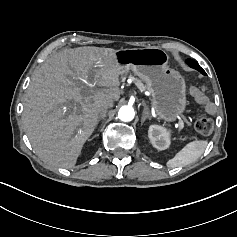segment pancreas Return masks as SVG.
<instances>
[{"label":"pancreas","instance_id":"obj_1","mask_svg":"<svg viewBox=\"0 0 237 237\" xmlns=\"http://www.w3.org/2000/svg\"><path fill=\"white\" fill-rule=\"evenodd\" d=\"M131 79L136 83V86L140 89V90H145V86H144V84L141 82V81H139V80H137L136 78H134V77H131Z\"/></svg>","mask_w":237,"mask_h":237}]
</instances>
